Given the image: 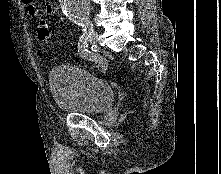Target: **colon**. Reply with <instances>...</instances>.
<instances>
[{"mask_svg": "<svg viewBox=\"0 0 221 174\" xmlns=\"http://www.w3.org/2000/svg\"><path fill=\"white\" fill-rule=\"evenodd\" d=\"M37 36L40 42L44 44L51 43V31L47 21L41 19L38 23Z\"/></svg>", "mask_w": 221, "mask_h": 174, "instance_id": "colon-1", "label": "colon"}]
</instances>
